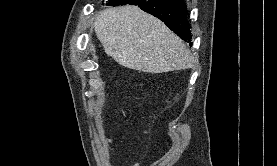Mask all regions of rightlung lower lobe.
I'll return each instance as SVG.
<instances>
[{
  "mask_svg": "<svg viewBox=\"0 0 277 166\" xmlns=\"http://www.w3.org/2000/svg\"><path fill=\"white\" fill-rule=\"evenodd\" d=\"M137 5L145 12L162 20L172 31L185 41L191 40L186 5L182 0H118L108 6ZM191 45V43H190Z\"/></svg>",
  "mask_w": 277,
  "mask_h": 166,
  "instance_id": "1",
  "label": "right lung lower lobe"
}]
</instances>
